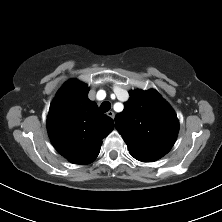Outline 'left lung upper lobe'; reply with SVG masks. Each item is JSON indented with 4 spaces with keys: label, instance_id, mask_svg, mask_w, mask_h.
<instances>
[{
    "label": "left lung upper lobe",
    "instance_id": "5c2ea615",
    "mask_svg": "<svg viewBox=\"0 0 222 222\" xmlns=\"http://www.w3.org/2000/svg\"><path fill=\"white\" fill-rule=\"evenodd\" d=\"M129 94L124 110L115 117L116 129L135 159L156 161L168 153L176 141L177 116L155 90H133Z\"/></svg>",
    "mask_w": 222,
    "mask_h": 222
}]
</instances>
